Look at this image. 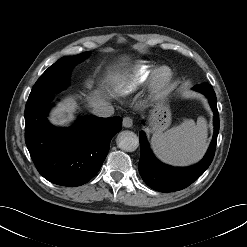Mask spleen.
I'll list each match as a JSON object with an SVG mask.
<instances>
[{
	"instance_id": "3e777b00",
	"label": "spleen",
	"mask_w": 247,
	"mask_h": 247,
	"mask_svg": "<svg viewBox=\"0 0 247 247\" xmlns=\"http://www.w3.org/2000/svg\"><path fill=\"white\" fill-rule=\"evenodd\" d=\"M155 154L165 163L184 166L200 160L207 149V124L200 116L195 122L183 119L178 126L156 131L151 139Z\"/></svg>"
}]
</instances>
